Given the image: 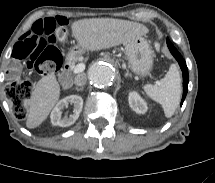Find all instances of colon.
<instances>
[{
  "label": "colon",
  "mask_w": 215,
  "mask_h": 183,
  "mask_svg": "<svg viewBox=\"0 0 215 183\" xmlns=\"http://www.w3.org/2000/svg\"><path fill=\"white\" fill-rule=\"evenodd\" d=\"M67 26V20L61 16L37 21L11 51L6 95L17 118L26 116V102L33 90L26 78L27 64L39 74L56 71L62 59L55 43L65 38Z\"/></svg>",
  "instance_id": "1"
}]
</instances>
